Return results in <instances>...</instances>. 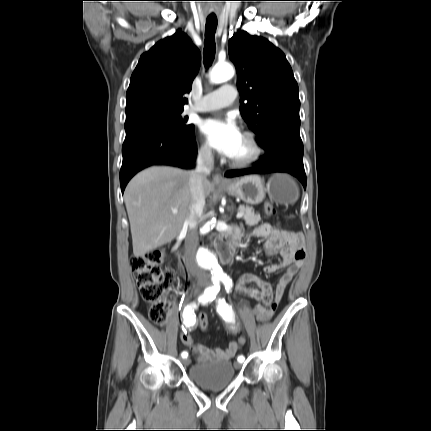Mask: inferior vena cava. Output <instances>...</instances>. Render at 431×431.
<instances>
[{
  "label": "inferior vena cava",
  "mask_w": 431,
  "mask_h": 431,
  "mask_svg": "<svg viewBox=\"0 0 431 431\" xmlns=\"http://www.w3.org/2000/svg\"><path fill=\"white\" fill-rule=\"evenodd\" d=\"M213 166L214 158L211 148L204 146L198 151L196 167L190 172L189 177L191 203L185 220V224L188 226V233L185 240V256L189 263L191 273L198 280L205 279L203 271L194 262L199 244L198 224L200 223V218L205 206L203 181L211 173ZM199 289L200 286L197 284L196 291Z\"/></svg>",
  "instance_id": "1"
}]
</instances>
